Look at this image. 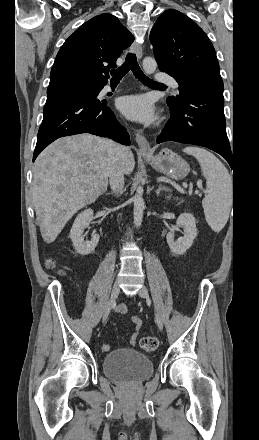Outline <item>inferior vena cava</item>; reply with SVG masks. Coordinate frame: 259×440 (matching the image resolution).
I'll return each instance as SVG.
<instances>
[{
    "instance_id": "1",
    "label": "inferior vena cava",
    "mask_w": 259,
    "mask_h": 440,
    "mask_svg": "<svg viewBox=\"0 0 259 440\" xmlns=\"http://www.w3.org/2000/svg\"><path fill=\"white\" fill-rule=\"evenodd\" d=\"M115 158L109 171L110 186L114 194L121 193L124 189V171L122 158L126 148L115 145Z\"/></svg>"
}]
</instances>
